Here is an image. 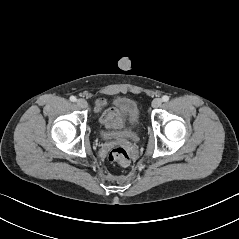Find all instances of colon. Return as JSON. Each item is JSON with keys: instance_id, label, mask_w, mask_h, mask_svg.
<instances>
[{"instance_id": "colon-1", "label": "colon", "mask_w": 239, "mask_h": 239, "mask_svg": "<svg viewBox=\"0 0 239 239\" xmlns=\"http://www.w3.org/2000/svg\"><path fill=\"white\" fill-rule=\"evenodd\" d=\"M109 160L121 166H128L130 163V155L123 147H116L112 149L108 156Z\"/></svg>"}]
</instances>
